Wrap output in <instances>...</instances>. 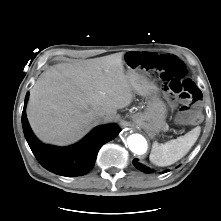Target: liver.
<instances>
[{"mask_svg":"<svg viewBox=\"0 0 221 221\" xmlns=\"http://www.w3.org/2000/svg\"><path fill=\"white\" fill-rule=\"evenodd\" d=\"M123 53L50 67L30 92L27 117L45 143L68 145L100 121H112L133 100V82L124 72Z\"/></svg>","mask_w":221,"mask_h":221,"instance_id":"obj_1","label":"liver"}]
</instances>
